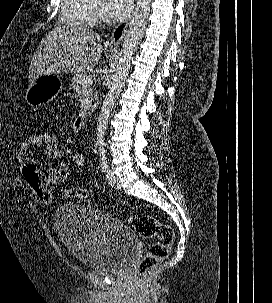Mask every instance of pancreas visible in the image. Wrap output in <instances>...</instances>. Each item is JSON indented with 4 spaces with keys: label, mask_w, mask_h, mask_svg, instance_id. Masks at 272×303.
Here are the masks:
<instances>
[{
    "label": "pancreas",
    "mask_w": 272,
    "mask_h": 303,
    "mask_svg": "<svg viewBox=\"0 0 272 303\" xmlns=\"http://www.w3.org/2000/svg\"><path fill=\"white\" fill-rule=\"evenodd\" d=\"M89 76V72H81L74 74L72 77V88L81 98V107H85L87 101H89L93 96V88L88 85L86 87L82 86V79Z\"/></svg>",
    "instance_id": "pancreas-1"
}]
</instances>
